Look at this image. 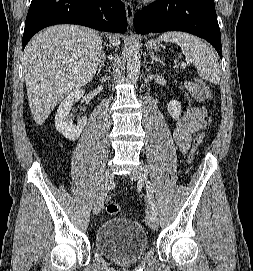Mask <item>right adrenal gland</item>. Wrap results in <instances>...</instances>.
<instances>
[{"label":"right adrenal gland","instance_id":"right-adrenal-gland-1","mask_svg":"<svg viewBox=\"0 0 253 271\" xmlns=\"http://www.w3.org/2000/svg\"><path fill=\"white\" fill-rule=\"evenodd\" d=\"M105 61H106V55L105 53H102L99 59V63H98V68H97L98 73H100L101 69L105 66Z\"/></svg>","mask_w":253,"mask_h":271}]
</instances>
